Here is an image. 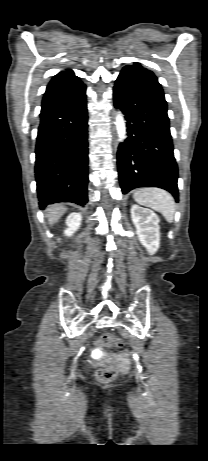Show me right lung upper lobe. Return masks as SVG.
Listing matches in <instances>:
<instances>
[{"label":"right lung upper lobe","mask_w":208,"mask_h":461,"mask_svg":"<svg viewBox=\"0 0 208 461\" xmlns=\"http://www.w3.org/2000/svg\"><path fill=\"white\" fill-rule=\"evenodd\" d=\"M86 91V86L74 74L66 69L53 76L43 96L41 110L78 99Z\"/></svg>","instance_id":"obj_1"}]
</instances>
